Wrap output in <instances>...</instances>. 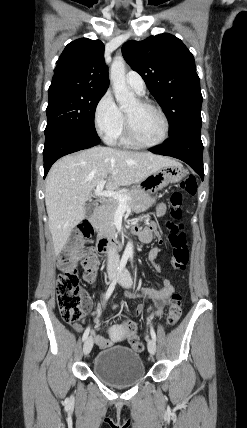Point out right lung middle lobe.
Returning a JSON list of instances; mask_svg holds the SVG:
<instances>
[{
	"label": "right lung middle lobe",
	"instance_id": "dd1d6c3e",
	"mask_svg": "<svg viewBox=\"0 0 247 428\" xmlns=\"http://www.w3.org/2000/svg\"><path fill=\"white\" fill-rule=\"evenodd\" d=\"M104 93L87 89H67L48 93L45 135L60 130L97 135L94 116L96 106Z\"/></svg>",
	"mask_w": 247,
	"mask_h": 428
}]
</instances>
